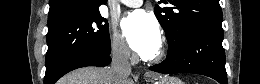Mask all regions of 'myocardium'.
Listing matches in <instances>:
<instances>
[{
  "label": "myocardium",
  "instance_id": "obj_1",
  "mask_svg": "<svg viewBox=\"0 0 260 84\" xmlns=\"http://www.w3.org/2000/svg\"><path fill=\"white\" fill-rule=\"evenodd\" d=\"M165 55H166V49L164 45H162L159 51L155 55H153L152 57H147L144 60L150 63H159L165 58Z\"/></svg>",
  "mask_w": 260,
  "mask_h": 84
}]
</instances>
